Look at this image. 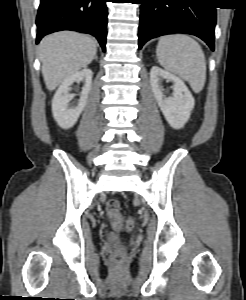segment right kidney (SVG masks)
Wrapping results in <instances>:
<instances>
[{
    "label": "right kidney",
    "instance_id": "obj_1",
    "mask_svg": "<svg viewBox=\"0 0 246 300\" xmlns=\"http://www.w3.org/2000/svg\"><path fill=\"white\" fill-rule=\"evenodd\" d=\"M93 72L90 69H83L68 76L59 86L52 100V113L57 124L63 129H69L75 125L84 107L91 90ZM84 81L80 100L76 107H68L69 102L74 98L70 94L71 85L74 82Z\"/></svg>",
    "mask_w": 246,
    "mask_h": 300
}]
</instances>
